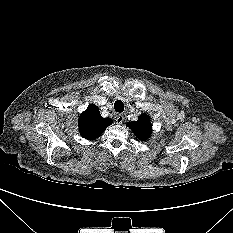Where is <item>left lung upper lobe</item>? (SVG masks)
Returning a JSON list of instances; mask_svg holds the SVG:
<instances>
[{
  "label": "left lung upper lobe",
  "mask_w": 233,
  "mask_h": 233,
  "mask_svg": "<svg viewBox=\"0 0 233 233\" xmlns=\"http://www.w3.org/2000/svg\"><path fill=\"white\" fill-rule=\"evenodd\" d=\"M127 126L134 132L135 136L142 141L147 140L152 132L150 117L147 114H142L137 121L127 123Z\"/></svg>",
  "instance_id": "1"
}]
</instances>
